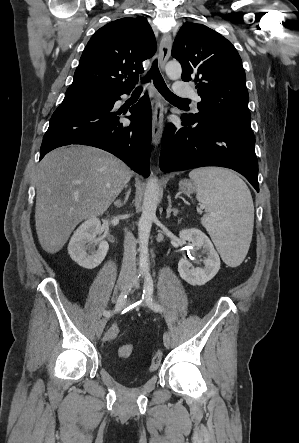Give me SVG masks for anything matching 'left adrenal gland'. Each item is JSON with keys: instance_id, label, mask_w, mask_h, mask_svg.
Instances as JSON below:
<instances>
[{"instance_id": "1", "label": "left adrenal gland", "mask_w": 299, "mask_h": 443, "mask_svg": "<svg viewBox=\"0 0 299 443\" xmlns=\"http://www.w3.org/2000/svg\"><path fill=\"white\" fill-rule=\"evenodd\" d=\"M166 213H167L166 218H170L171 213H173L174 216L178 214V210L172 208V201L170 197H168V208L166 210Z\"/></svg>"}]
</instances>
